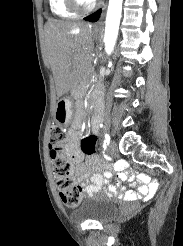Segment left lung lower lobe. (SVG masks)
<instances>
[{
  "instance_id": "1",
  "label": "left lung lower lobe",
  "mask_w": 183,
  "mask_h": 246,
  "mask_svg": "<svg viewBox=\"0 0 183 246\" xmlns=\"http://www.w3.org/2000/svg\"><path fill=\"white\" fill-rule=\"evenodd\" d=\"M100 14H101V11L99 10V11L85 17L84 20L90 21V22H96L99 19Z\"/></svg>"
}]
</instances>
